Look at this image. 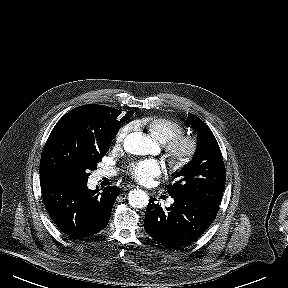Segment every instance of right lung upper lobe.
<instances>
[{
  "mask_svg": "<svg viewBox=\"0 0 288 288\" xmlns=\"http://www.w3.org/2000/svg\"><path fill=\"white\" fill-rule=\"evenodd\" d=\"M107 108V106L96 104L79 106L63 116L60 121L68 119L79 120L90 128L103 116Z\"/></svg>",
  "mask_w": 288,
  "mask_h": 288,
  "instance_id": "right-lung-upper-lobe-1",
  "label": "right lung upper lobe"
}]
</instances>
